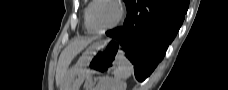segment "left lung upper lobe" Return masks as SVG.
Listing matches in <instances>:
<instances>
[{
  "mask_svg": "<svg viewBox=\"0 0 228 90\" xmlns=\"http://www.w3.org/2000/svg\"><path fill=\"white\" fill-rule=\"evenodd\" d=\"M128 0H124L125 4L127 3Z\"/></svg>",
  "mask_w": 228,
  "mask_h": 90,
  "instance_id": "5c2ea615",
  "label": "left lung upper lobe"
}]
</instances>
